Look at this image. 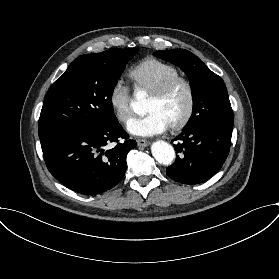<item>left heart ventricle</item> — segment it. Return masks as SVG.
Returning a JSON list of instances; mask_svg holds the SVG:
<instances>
[{"mask_svg": "<svg viewBox=\"0 0 279 279\" xmlns=\"http://www.w3.org/2000/svg\"><path fill=\"white\" fill-rule=\"evenodd\" d=\"M187 104L188 94L186 87L180 84L162 99H154L150 96L148 101V112H160L171 125L184 116Z\"/></svg>", "mask_w": 279, "mask_h": 279, "instance_id": "b2bd125f", "label": "left heart ventricle"}]
</instances>
